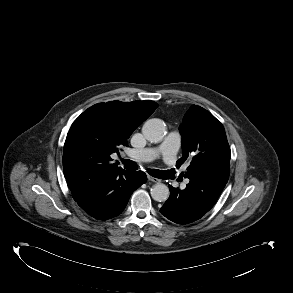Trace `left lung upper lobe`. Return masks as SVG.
Returning <instances> with one entry per match:
<instances>
[{
  "label": "left lung upper lobe",
  "instance_id": "left-lung-upper-lobe-1",
  "mask_svg": "<svg viewBox=\"0 0 293 293\" xmlns=\"http://www.w3.org/2000/svg\"><path fill=\"white\" fill-rule=\"evenodd\" d=\"M179 131L183 156L176 165L180 167L189 153L194 152L185 177L226 184L231 151L221 122L204 108L193 105L185 114Z\"/></svg>",
  "mask_w": 293,
  "mask_h": 293
}]
</instances>
